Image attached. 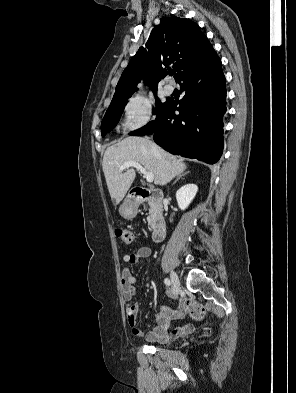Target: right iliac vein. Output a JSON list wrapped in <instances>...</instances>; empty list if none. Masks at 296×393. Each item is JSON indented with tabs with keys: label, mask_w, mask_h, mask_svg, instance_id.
Segmentation results:
<instances>
[{
	"label": "right iliac vein",
	"mask_w": 296,
	"mask_h": 393,
	"mask_svg": "<svg viewBox=\"0 0 296 393\" xmlns=\"http://www.w3.org/2000/svg\"><path fill=\"white\" fill-rule=\"evenodd\" d=\"M171 282L174 294H178L180 290V280L175 272H171Z\"/></svg>",
	"instance_id": "1"
}]
</instances>
